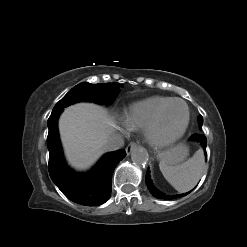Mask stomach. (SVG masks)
Segmentation results:
<instances>
[{
    "mask_svg": "<svg viewBox=\"0 0 247 247\" xmlns=\"http://www.w3.org/2000/svg\"><path fill=\"white\" fill-rule=\"evenodd\" d=\"M189 154V149L185 144H178L168 151L162 153L161 158H167L169 164L175 165L182 162Z\"/></svg>",
    "mask_w": 247,
    "mask_h": 247,
    "instance_id": "obj_1",
    "label": "stomach"
}]
</instances>
